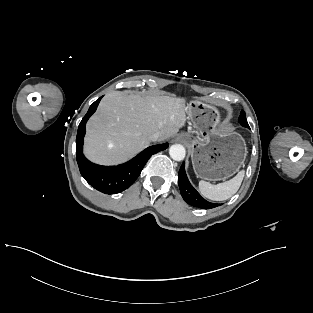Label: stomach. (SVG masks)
Listing matches in <instances>:
<instances>
[{
	"mask_svg": "<svg viewBox=\"0 0 313 313\" xmlns=\"http://www.w3.org/2000/svg\"><path fill=\"white\" fill-rule=\"evenodd\" d=\"M186 110L195 136H182L186 138L196 176L217 181L234 175L247 155L243 137L222 128L219 111L212 105L192 100Z\"/></svg>",
	"mask_w": 313,
	"mask_h": 313,
	"instance_id": "obj_1",
	"label": "stomach"
}]
</instances>
